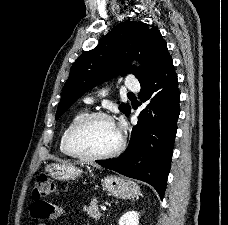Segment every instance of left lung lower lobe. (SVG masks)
I'll list each match as a JSON object with an SVG mask.
<instances>
[{
  "mask_svg": "<svg viewBox=\"0 0 228 225\" xmlns=\"http://www.w3.org/2000/svg\"><path fill=\"white\" fill-rule=\"evenodd\" d=\"M138 96L149 104L133 127L127 149L115 159L96 162L149 183L163 199L180 113L177 74L170 55L151 78L141 83Z\"/></svg>",
  "mask_w": 228,
  "mask_h": 225,
  "instance_id": "obj_1",
  "label": "left lung lower lobe"
}]
</instances>
